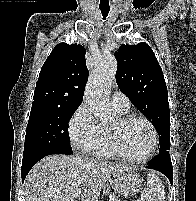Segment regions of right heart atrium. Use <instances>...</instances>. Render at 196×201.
<instances>
[{"instance_id": "d8ad5b80", "label": "right heart atrium", "mask_w": 196, "mask_h": 201, "mask_svg": "<svg viewBox=\"0 0 196 201\" xmlns=\"http://www.w3.org/2000/svg\"><path fill=\"white\" fill-rule=\"evenodd\" d=\"M68 133L73 148L83 154H93L103 140L102 127L85 103L72 114Z\"/></svg>"}]
</instances>
